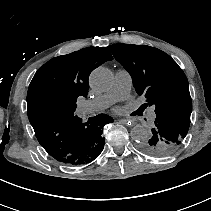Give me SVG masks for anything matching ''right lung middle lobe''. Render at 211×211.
<instances>
[{"label":"right lung middle lobe","instance_id":"obj_1","mask_svg":"<svg viewBox=\"0 0 211 211\" xmlns=\"http://www.w3.org/2000/svg\"><path fill=\"white\" fill-rule=\"evenodd\" d=\"M76 109V105L75 106H72L71 108H69L67 111H65L62 116L66 115V114H70V113H74ZM33 124V123H32Z\"/></svg>","mask_w":211,"mask_h":211}]
</instances>
